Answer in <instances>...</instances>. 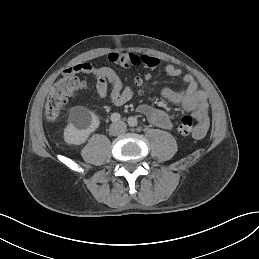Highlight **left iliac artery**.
<instances>
[{
    "mask_svg": "<svg viewBox=\"0 0 259 259\" xmlns=\"http://www.w3.org/2000/svg\"><path fill=\"white\" fill-rule=\"evenodd\" d=\"M128 124L131 127H135V126H137L138 121H137V119L135 117H129L128 118Z\"/></svg>",
    "mask_w": 259,
    "mask_h": 259,
    "instance_id": "left-iliac-artery-1",
    "label": "left iliac artery"
}]
</instances>
